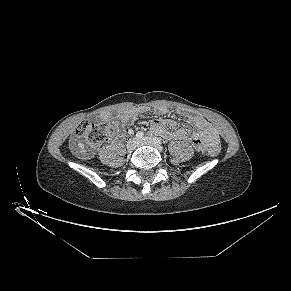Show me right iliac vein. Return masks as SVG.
<instances>
[{
  "mask_svg": "<svg viewBox=\"0 0 291 291\" xmlns=\"http://www.w3.org/2000/svg\"><path fill=\"white\" fill-rule=\"evenodd\" d=\"M137 146H138V141L135 138L128 140V142L126 144V148L129 151H133Z\"/></svg>",
  "mask_w": 291,
  "mask_h": 291,
  "instance_id": "right-iliac-vein-1",
  "label": "right iliac vein"
}]
</instances>
